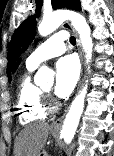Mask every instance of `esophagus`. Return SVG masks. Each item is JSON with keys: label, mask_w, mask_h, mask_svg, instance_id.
<instances>
[{"label": "esophagus", "mask_w": 114, "mask_h": 156, "mask_svg": "<svg viewBox=\"0 0 114 156\" xmlns=\"http://www.w3.org/2000/svg\"><path fill=\"white\" fill-rule=\"evenodd\" d=\"M63 27L65 29L71 31L74 34V36L76 37L77 49H78L79 56H80V59H81V64H83L82 47H81V42H80V39H79V36H78L77 32L74 30V28L71 26V24L69 22H64ZM79 85H80V82H79ZM63 119H64V115L61 116L60 118H58L56 121H54L52 123V127L53 128H60L62 126Z\"/></svg>", "instance_id": "34e87169"}]
</instances>
